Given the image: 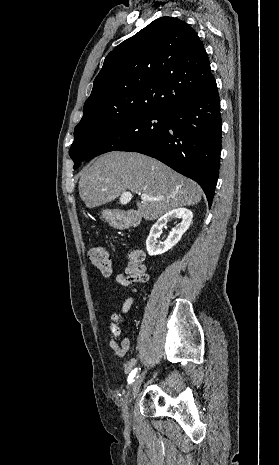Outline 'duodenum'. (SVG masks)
Here are the masks:
<instances>
[{
	"label": "duodenum",
	"instance_id": "1",
	"mask_svg": "<svg viewBox=\"0 0 279 465\" xmlns=\"http://www.w3.org/2000/svg\"><path fill=\"white\" fill-rule=\"evenodd\" d=\"M138 220H139L138 217L134 214L127 215L123 218L122 225L124 227H132L138 223Z\"/></svg>",
	"mask_w": 279,
	"mask_h": 465
}]
</instances>
